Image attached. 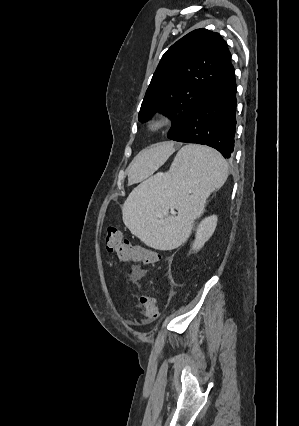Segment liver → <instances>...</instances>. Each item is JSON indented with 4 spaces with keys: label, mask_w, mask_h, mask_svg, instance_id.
Segmentation results:
<instances>
[{
    "label": "liver",
    "mask_w": 299,
    "mask_h": 426,
    "mask_svg": "<svg viewBox=\"0 0 299 426\" xmlns=\"http://www.w3.org/2000/svg\"><path fill=\"white\" fill-rule=\"evenodd\" d=\"M173 142L157 143L142 150L131 162L128 174L131 180L144 178L158 169L174 153Z\"/></svg>",
    "instance_id": "1"
}]
</instances>
